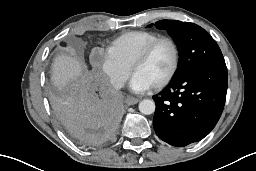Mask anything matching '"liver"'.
Masks as SVG:
<instances>
[{"instance_id":"1","label":"liver","mask_w":256,"mask_h":171,"mask_svg":"<svg viewBox=\"0 0 256 171\" xmlns=\"http://www.w3.org/2000/svg\"><path fill=\"white\" fill-rule=\"evenodd\" d=\"M83 75L82 62L73 54H58L52 64L51 80L55 87L62 89Z\"/></svg>"}]
</instances>
